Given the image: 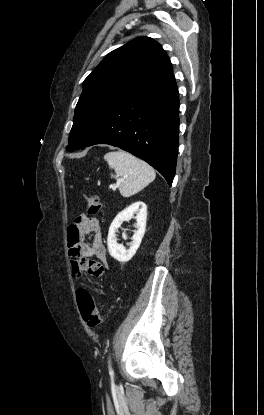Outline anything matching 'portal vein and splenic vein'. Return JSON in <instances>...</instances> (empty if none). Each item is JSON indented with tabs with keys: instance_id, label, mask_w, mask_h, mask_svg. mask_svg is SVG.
I'll list each match as a JSON object with an SVG mask.
<instances>
[{
	"instance_id": "1",
	"label": "portal vein and splenic vein",
	"mask_w": 264,
	"mask_h": 415,
	"mask_svg": "<svg viewBox=\"0 0 264 415\" xmlns=\"http://www.w3.org/2000/svg\"><path fill=\"white\" fill-rule=\"evenodd\" d=\"M122 181H123V179L118 180L116 184L111 185V188L115 190L120 185V183Z\"/></svg>"
}]
</instances>
